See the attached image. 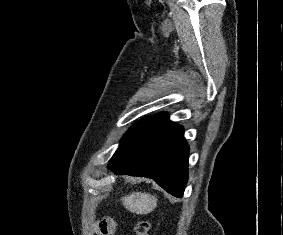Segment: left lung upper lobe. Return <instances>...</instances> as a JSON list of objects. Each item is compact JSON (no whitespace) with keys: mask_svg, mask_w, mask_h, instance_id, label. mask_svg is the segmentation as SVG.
Here are the masks:
<instances>
[{"mask_svg":"<svg viewBox=\"0 0 283 235\" xmlns=\"http://www.w3.org/2000/svg\"><path fill=\"white\" fill-rule=\"evenodd\" d=\"M146 121H147L146 119H142L139 122H137L136 124H134L133 126H131L129 128L128 132L124 135V138L129 137L135 130H137L140 126H142ZM122 141H124V139Z\"/></svg>","mask_w":283,"mask_h":235,"instance_id":"5c2ea615","label":"left lung upper lobe"}]
</instances>
